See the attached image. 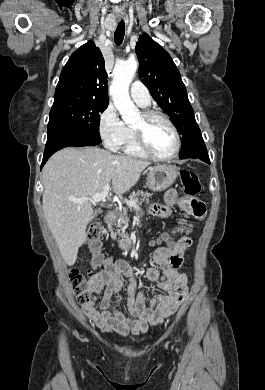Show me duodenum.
<instances>
[{
	"label": "duodenum",
	"mask_w": 265,
	"mask_h": 390,
	"mask_svg": "<svg viewBox=\"0 0 265 390\" xmlns=\"http://www.w3.org/2000/svg\"><path fill=\"white\" fill-rule=\"evenodd\" d=\"M116 220V214L114 212H108L105 215L104 222L106 224H111Z\"/></svg>",
	"instance_id": "1"
}]
</instances>
